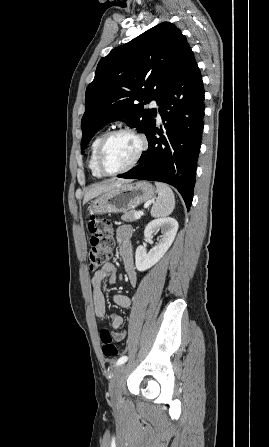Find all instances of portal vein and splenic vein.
Listing matches in <instances>:
<instances>
[{"label":"portal vein and splenic vein","instance_id":"obj_1","mask_svg":"<svg viewBox=\"0 0 269 447\" xmlns=\"http://www.w3.org/2000/svg\"><path fill=\"white\" fill-rule=\"evenodd\" d=\"M134 218H135V220H140V218H141L140 212H135Z\"/></svg>","mask_w":269,"mask_h":447}]
</instances>
